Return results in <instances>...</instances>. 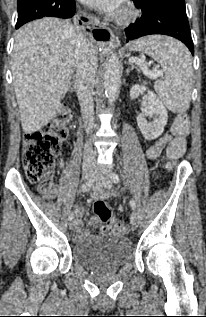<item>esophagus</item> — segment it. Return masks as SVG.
<instances>
[{"label": "esophagus", "mask_w": 206, "mask_h": 317, "mask_svg": "<svg viewBox=\"0 0 206 317\" xmlns=\"http://www.w3.org/2000/svg\"><path fill=\"white\" fill-rule=\"evenodd\" d=\"M96 24H98V26L94 30V38L99 43L104 44L114 40L113 32L104 23H98L96 21Z\"/></svg>", "instance_id": "obj_1"}]
</instances>
